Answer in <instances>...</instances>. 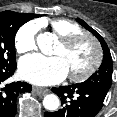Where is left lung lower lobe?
<instances>
[{"instance_id": "0a47b994", "label": "left lung lower lobe", "mask_w": 117, "mask_h": 117, "mask_svg": "<svg viewBox=\"0 0 117 117\" xmlns=\"http://www.w3.org/2000/svg\"><path fill=\"white\" fill-rule=\"evenodd\" d=\"M63 106L57 112H45L44 117H95L101 110L105 94L81 83L52 88Z\"/></svg>"}]
</instances>
